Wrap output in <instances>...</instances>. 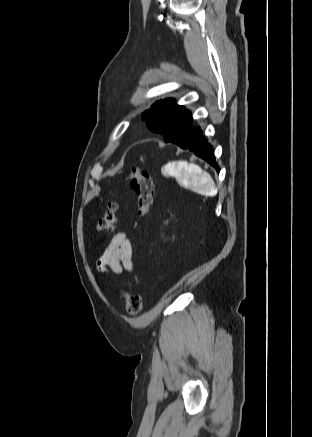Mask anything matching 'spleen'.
Segmentation results:
<instances>
[{
  "label": "spleen",
  "mask_w": 312,
  "mask_h": 437,
  "mask_svg": "<svg viewBox=\"0 0 312 437\" xmlns=\"http://www.w3.org/2000/svg\"><path fill=\"white\" fill-rule=\"evenodd\" d=\"M164 171L178 176L182 181L187 182L192 190L200 194L214 196L217 193L210 174L196 164L184 161L173 162L166 165Z\"/></svg>",
  "instance_id": "obj_1"
}]
</instances>
